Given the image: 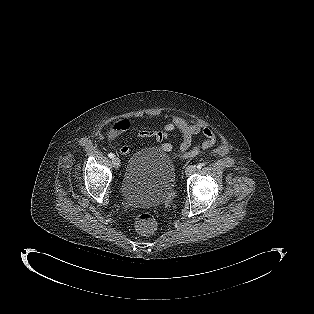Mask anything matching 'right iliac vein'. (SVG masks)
<instances>
[{
  "instance_id": "63e3f726",
  "label": "right iliac vein",
  "mask_w": 314,
  "mask_h": 314,
  "mask_svg": "<svg viewBox=\"0 0 314 314\" xmlns=\"http://www.w3.org/2000/svg\"><path fill=\"white\" fill-rule=\"evenodd\" d=\"M112 164H113L114 168L118 169L120 166V159L118 157H114L112 159Z\"/></svg>"
}]
</instances>
